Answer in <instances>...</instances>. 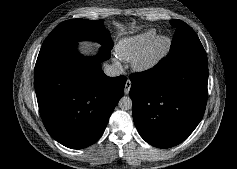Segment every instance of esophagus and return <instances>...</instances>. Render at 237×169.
<instances>
[{"label":"esophagus","mask_w":237,"mask_h":169,"mask_svg":"<svg viewBox=\"0 0 237 169\" xmlns=\"http://www.w3.org/2000/svg\"><path fill=\"white\" fill-rule=\"evenodd\" d=\"M131 81L128 79L125 84L124 93L127 95L130 92Z\"/></svg>","instance_id":"obj_1"}]
</instances>
